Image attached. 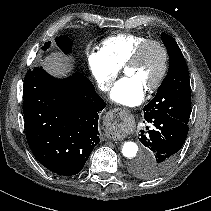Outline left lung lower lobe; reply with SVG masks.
<instances>
[{
  "mask_svg": "<svg viewBox=\"0 0 211 211\" xmlns=\"http://www.w3.org/2000/svg\"><path fill=\"white\" fill-rule=\"evenodd\" d=\"M153 125L147 134L141 131L139 140L153 152L150 160L142 158L133 163L140 177L153 179L166 172L175 162L188 134V125L180 120L167 116L146 118Z\"/></svg>",
  "mask_w": 211,
  "mask_h": 211,
  "instance_id": "left-lung-lower-lobe-1",
  "label": "left lung lower lobe"
}]
</instances>
